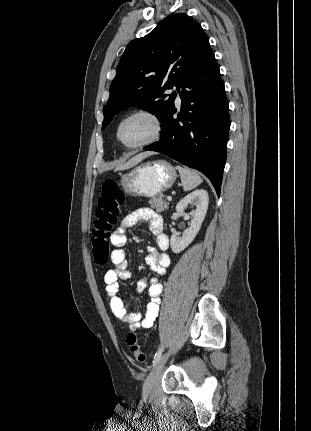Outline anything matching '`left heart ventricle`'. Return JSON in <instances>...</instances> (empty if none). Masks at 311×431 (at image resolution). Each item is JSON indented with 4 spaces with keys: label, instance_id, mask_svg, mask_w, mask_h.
<instances>
[{
    "label": "left heart ventricle",
    "instance_id": "b2bd125f",
    "mask_svg": "<svg viewBox=\"0 0 311 431\" xmlns=\"http://www.w3.org/2000/svg\"><path fill=\"white\" fill-rule=\"evenodd\" d=\"M155 132L154 121L145 115H133L123 119L118 127L120 140L128 145L148 140Z\"/></svg>",
    "mask_w": 311,
    "mask_h": 431
}]
</instances>
